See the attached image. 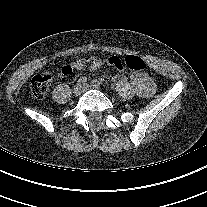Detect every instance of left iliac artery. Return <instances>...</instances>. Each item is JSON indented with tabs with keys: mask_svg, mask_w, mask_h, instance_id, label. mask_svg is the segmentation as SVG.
<instances>
[{
	"mask_svg": "<svg viewBox=\"0 0 207 207\" xmlns=\"http://www.w3.org/2000/svg\"><path fill=\"white\" fill-rule=\"evenodd\" d=\"M92 84L95 86H100V82L98 80H93Z\"/></svg>",
	"mask_w": 207,
	"mask_h": 207,
	"instance_id": "obj_1",
	"label": "left iliac artery"
}]
</instances>
